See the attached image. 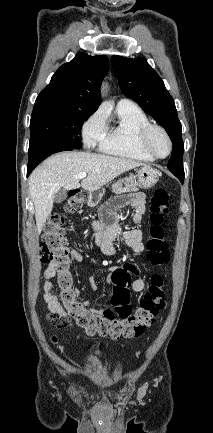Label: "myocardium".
<instances>
[{
  "mask_svg": "<svg viewBox=\"0 0 213 433\" xmlns=\"http://www.w3.org/2000/svg\"><path fill=\"white\" fill-rule=\"evenodd\" d=\"M155 131L161 132L169 144V150L166 155L158 154L151 145V135ZM138 141L142 150L156 159L167 158L173 151V141L170 134L164 127L158 124L149 123L143 126L139 131Z\"/></svg>",
  "mask_w": 213,
  "mask_h": 433,
  "instance_id": "obj_1",
  "label": "myocardium"
}]
</instances>
